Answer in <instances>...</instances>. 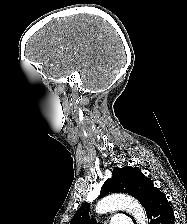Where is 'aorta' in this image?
Masks as SVG:
<instances>
[{
	"label": "aorta",
	"mask_w": 187,
	"mask_h": 224,
	"mask_svg": "<svg viewBox=\"0 0 187 224\" xmlns=\"http://www.w3.org/2000/svg\"><path fill=\"white\" fill-rule=\"evenodd\" d=\"M116 210L128 211L138 224H147L146 212L140 203L130 196L115 195L102 199L96 205V213L104 214Z\"/></svg>",
	"instance_id": "1"
}]
</instances>
